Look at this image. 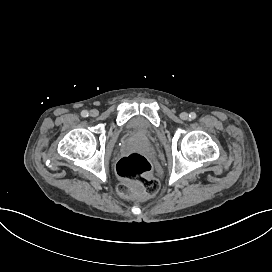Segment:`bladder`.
Here are the masks:
<instances>
[{
  "instance_id": "bladder-1",
  "label": "bladder",
  "mask_w": 272,
  "mask_h": 272,
  "mask_svg": "<svg viewBox=\"0 0 272 272\" xmlns=\"http://www.w3.org/2000/svg\"><path fill=\"white\" fill-rule=\"evenodd\" d=\"M155 128L150 121L142 116H135L124 126V131L137 134L142 137H150L153 135Z\"/></svg>"
}]
</instances>
